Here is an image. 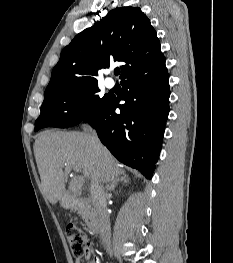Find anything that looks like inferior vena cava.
Returning <instances> with one entry per match:
<instances>
[{
  "label": "inferior vena cava",
  "mask_w": 233,
  "mask_h": 263,
  "mask_svg": "<svg viewBox=\"0 0 233 263\" xmlns=\"http://www.w3.org/2000/svg\"><path fill=\"white\" fill-rule=\"evenodd\" d=\"M92 139L95 146L99 148L100 141L95 132L92 133ZM91 195L100 225L102 242L107 252L112 255L110 219L107 212V196L99 182H92Z\"/></svg>",
  "instance_id": "inferior-vena-cava-1"
}]
</instances>
